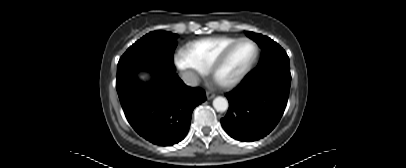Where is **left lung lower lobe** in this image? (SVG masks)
I'll return each instance as SVG.
<instances>
[{
    "label": "left lung lower lobe",
    "instance_id": "0a47b994",
    "mask_svg": "<svg viewBox=\"0 0 406 168\" xmlns=\"http://www.w3.org/2000/svg\"><path fill=\"white\" fill-rule=\"evenodd\" d=\"M290 71L274 66L256 67L233 91L225 94L229 109L221 124L232 138L251 142L265 137L285 110Z\"/></svg>",
    "mask_w": 406,
    "mask_h": 168
}]
</instances>
